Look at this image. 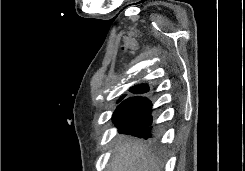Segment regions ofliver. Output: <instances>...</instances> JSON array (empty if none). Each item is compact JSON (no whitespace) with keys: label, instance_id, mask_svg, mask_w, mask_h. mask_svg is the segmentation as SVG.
I'll return each mask as SVG.
<instances>
[{"label":"liver","instance_id":"obj_1","mask_svg":"<svg viewBox=\"0 0 245 171\" xmlns=\"http://www.w3.org/2000/svg\"><path fill=\"white\" fill-rule=\"evenodd\" d=\"M109 171H161V165L145 145L128 140L116 146Z\"/></svg>","mask_w":245,"mask_h":171}]
</instances>
